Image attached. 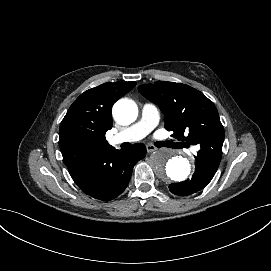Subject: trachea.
<instances>
[{
    "mask_svg": "<svg viewBox=\"0 0 271 271\" xmlns=\"http://www.w3.org/2000/svg\"><path fill=\"white\" fill-rule=\"evenodd\" d=\"M156 146H158V147H162L161 143H160V144H156Z\"/></svg>",
    "mask_w": 271,
    "mask_h": 271,
    "instance_id": "3493384b",
    "label": "trachea"
}]
</instances>
